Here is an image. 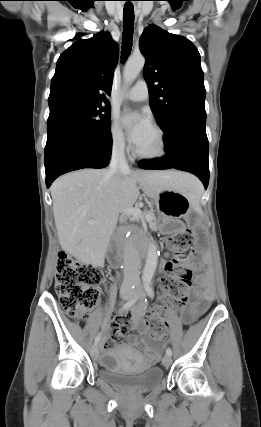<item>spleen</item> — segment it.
Masks as SVG:
<instances>
[{
    "mask_svg": "<svg viewBox=\"0 0 261 427\" xmlns=\"http://www.w3.org/2000/svg\"><path fill=\"white\" fill-rule=\"evenodd\" d=\"M203 194L201 184L196 180L192 181L189 185L188 196L193 204H198Z\"/></svg>",
    "mask_w": 261,
    "mask_h": 427,
    "instance_id": "spleen-1",
    "label": "spleen"
}]
</instances>
